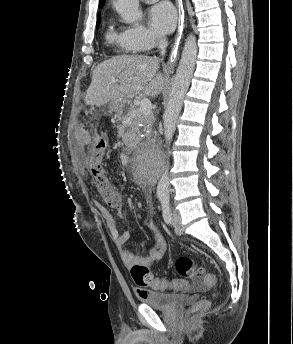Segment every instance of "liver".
I'll return each instance as SVG.
<instances>
[{
  "instance_id": "1",
  "label": "liver",
  "mask_w": 293,
  "mask_h": 344,
  "mask_svg": "<svg viewBox=\"0 0 293 344\" xmlns=\"http://www.w3.org/2000/svg\"><path fill=\"white\" fill-rule=\"evenodd\" d=\"M159 68V59L147 55H122L106 60L94 69L85 102L100 107L112 101L132 99L140 91L157 96L165 85Z\"/></svg>"
}]
</instances>
